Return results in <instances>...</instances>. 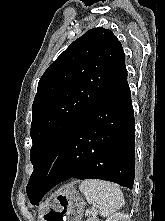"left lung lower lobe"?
<instances>
[{"mask_svg": "<svg viewBox=\"0 0 165 221\" xmlns=\"http://www.w3.org/2000/svg\"><path fill=\"white\" fill-rule=\"evenodd\" d=\"M134 177V113L124 66L69 134L31 203L38 205L51 188L71 178L132 189Z\"/></svg>", "mask_w": 165, "mask_h": 221, "instance_id": "1", "label": "left lung lower lobe"}]
</instances>
